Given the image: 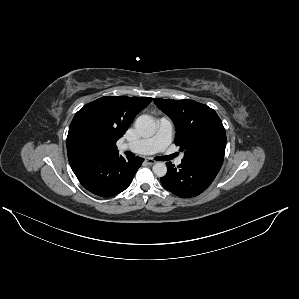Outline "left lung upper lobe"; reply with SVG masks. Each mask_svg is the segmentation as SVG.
Instances as JSON below:
<instances>
[{
  "label": "left lung upper lobe",
  "mask_w": 299,
  "mask_h": 299,
  "mask_svg": "<svg viewBox=\"0 0 299 299\" xmlns=\"http://www.w3.org/2000/svg\"><path fill=\"white\" fill-rule=\"evenodd\" d=\"M176 127L175 143L184 152L183 159L198 156L224 158L226 134L217 113L193 100L153 99Z\"/></svg>",
  "instance_id": "obj_1"
}]
</instances>
